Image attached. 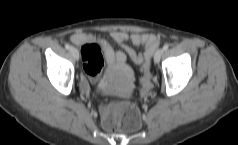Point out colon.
<instances>
[{"label": "colon", "mask_w": 238, "mask_h": 145, "mask_svg": "<svg viewBox=\"0 0 238 145\" xmlns=\"http://www.w3.org/2000/svg\"><path fill=\"white\" fill-rule=\"evenodd\" d=\"M81 53L85 73L95 78L103 67L102 50L99 44L88 42L82 45ZM147 78L143 80L145 86ZM103 124L108 130L131 132L141 125L138 107L127 101H114L103 109Z\"/></svg>", "instance_id": "1"}]
</instances>
